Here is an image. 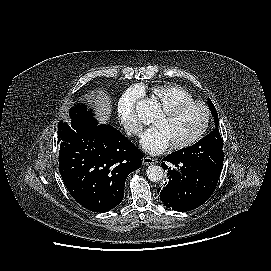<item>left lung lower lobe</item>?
<instances>
[{"label": "left lung lower lobe", "mask_w": 271, "mask_h": 271, "mask_svg": "<svg viewBox=\"0 0 271 271\" xmlns=\"http://www.w3.org/2000/svg\"><path fill=\"white\" fill-rule=\"evenodd\" d=\"M162 161L161 166L167 170V182L157 193L166 207L181 212L193 210L206 202L216 189L220 175L204 165L173 153ZM167 162L174 167H168Z\"/></svg>", "instance_id": "left-lung-lower-lobe-1"}]
</instances>
